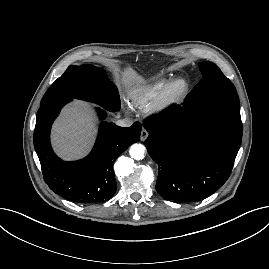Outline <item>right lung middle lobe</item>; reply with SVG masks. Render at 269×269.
Masks as SVG:
<instances>
[{"label": "right lung middle lobe", "instance_id": "dd1d6c3e", "mask_svg": "<svg viewBox=\"0 0 269 269\" xmlns=\"http://www.w3.org/2000/svg\"><path fill=\"white\" fill-rule=\"evenodd\" d=\"M61 98H77L118 110L120 98L115 85L101 68L84 64L69 66L47 90L40 105Z\"/></svg>", "mask_w": 269, "mask_h": 269}]
</instances>
